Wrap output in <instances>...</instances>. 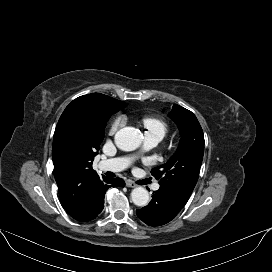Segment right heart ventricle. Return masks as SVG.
I'll return each mask as SVG.
<instances>
[{
	"label": "right heart ventricle",
	"mask_w": 272,
	"mask_h": 272,
	"mask_svg": "<svg viewBox=\"0 0 272 272\" xmlns=\"http://www.w3.org/2000/svg\"><path fill=\"white\" fill-rule=\"evenodd\" d=\"M147 132H160L165 134L167 130L166 124L157 118H146L144 121Z\"/></svg>",
	"instance_id": "e07e8e85"
}]
</instances>
